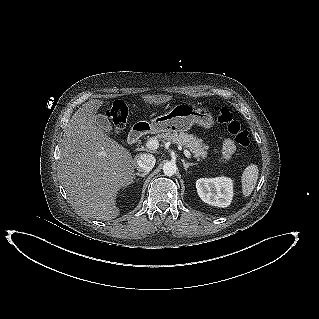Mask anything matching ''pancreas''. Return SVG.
I'll return each instance as SVG.
<instances>
[{
    "label": "pancreas",
    "mask_w": 319,
    "mask_h": 319,
    "mask_svg": "<svg viewBox=\"0 0 319 319\" xmlns=\"http://www.w3.org/2000/svg\"><path fill=\"white\" fill-rule=\"evenodd\" d=\"M157 138H163L164 140L170 141L173 144L187 147L198 160H203L208 155V146L203 144V140L201 138H198L192 134L184 132L180 134L163 133L155 137V139Z\"/></svg>",
    "instance_id": "pancreas-1"
}]
</instances>
